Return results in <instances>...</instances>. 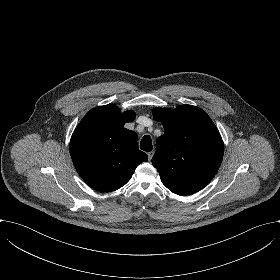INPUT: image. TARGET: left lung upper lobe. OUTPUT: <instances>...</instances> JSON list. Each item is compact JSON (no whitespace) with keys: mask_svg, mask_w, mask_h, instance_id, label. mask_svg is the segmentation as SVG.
I'll return each instance as SVG.
<instances>
[{"mask_svg":"<svg viewBox=\"0 0 280 280\" xmlns=\"http://www.w3.org/2000/svg\"><path fill=\"white\" fill-rule=\"evenodd\" d=\"M153 117L164 126L152 158L162 183L178 195L204 188L217 173L224 152L221 135L210 117L191 105L156 108Z\"/></svg>","mask_w":280,"mask_h":280,"instance_id":"5c2ea615","label":"left lung upper lobe"}]
</instances>
